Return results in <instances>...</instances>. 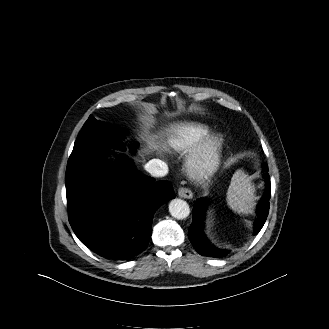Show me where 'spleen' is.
I'll return each mask as SVG.
<instances>
[{"instance_id":"obj_1","label":"spleen","mask_w":329,"mask_h":329,"mask_svg":"<svg viewBox=\"0 0 329 329\" xmlns=\"http://www.w3.org/2000/svg\"><path fill=\"white\" fill-rule=\"evenodd\" d=\"M254 192L255 188L249 177L242 170H237L227 191V203L237 213H251L254 206Z\"/></svg>"}]
</instances>
